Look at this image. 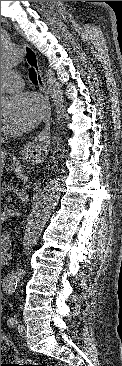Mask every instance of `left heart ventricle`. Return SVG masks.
<instances>
[{"instance_id":"b2bd125f","label":"left heart ventricle","mask_w":122,"mask_h":366,"mask_svg":"<svg viewBox=\"0 0 122 366\" xmlns=\"http://www.w3.org/2000/svg\"><path fill=\"white\" fill-rule=\"evenodd\" d=\"M4 122V114H1V125L3 124Z\"/></svg>"}]
</instances>
